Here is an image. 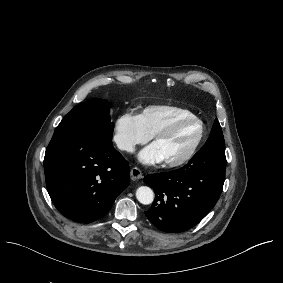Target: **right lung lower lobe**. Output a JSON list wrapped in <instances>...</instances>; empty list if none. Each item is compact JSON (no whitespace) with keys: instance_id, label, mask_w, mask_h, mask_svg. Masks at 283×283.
<instances>
[{"instance_id":"right-lung-lower-lobe-1","label":"right lung lower lobe","mask_w":283,"mask_h":283,"mask_svg":"<svg viewBox=\"0 0 283 283\" xmlns=\"http://www.w3.org/2000/svg\"><path fill=\"white\" fill-rule=\"evenodd\" d=\"M44 171L55 207L80 223L105 216L130 182L128 162L111 140L75 133L53 135Z\"/></svg>"}]
</instances>
